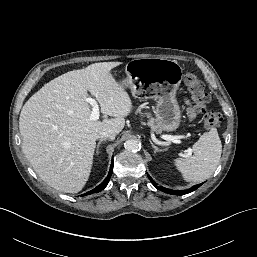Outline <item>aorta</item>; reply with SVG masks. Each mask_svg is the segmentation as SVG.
<instances>
[{
	"label": "aorta",
	"mask_w": 257,
	"mask_h": 257,
	"mask_svg": "<svg viewBox=\"0 0 257 257\" xmlns=\"http://www.w3.org/2000/svg\"><path fill=\"white\" fill-rule=\"evenodd\" d=\"M141 143L136 139H130L125 141L124 148L127 151L136 152L140 149Z\"/></svg>",
	"instance_id": "1"
}]
</instances>
